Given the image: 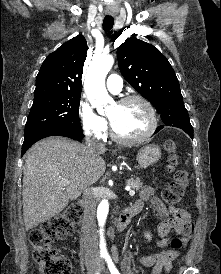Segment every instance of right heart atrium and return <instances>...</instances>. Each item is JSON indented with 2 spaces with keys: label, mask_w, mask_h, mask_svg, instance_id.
I'll return each instance as SVG.
<instances>
[{
  "label": "right heart atrium",
  "mask_w": 221,
  "mask_h": 274,
  "mask_svg": "<svg viewBox=\"0 0 221 274\" xmlns=\"http://www.w3.org/2000/svg\"><path fill=\"white\" fill-rule=\"evenodd\" d=\"M79 116L84 134L94 140H103L107 132L104 118L98 115L91 105L83 101L80 104Z\"/></svg>",
  "instance_id": "1"
}]
</instances>
